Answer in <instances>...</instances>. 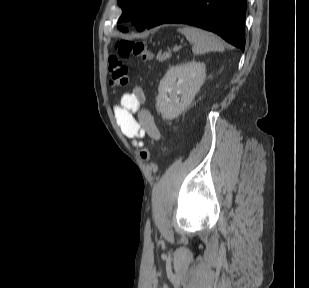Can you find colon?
Returning <instances> with one entry per match:
<instances>
[{
	"mask_svg": "<svg viewBox=\"0 0 309 288\" xmlns=\"http://www.w3.org/2000/svg\"><path fill=\"white\" fill-rule=\"evenodd\" d=\"M117 55H112L108 61V70L110 73V83L113 86L124 87L128 84V67L122 59L131 55L142 56L144 61H150L154 58V53L148 49L143 41H122L117 44ZM140 158L143 161H149L150 151L147 147L140 151Z\"/></svg>",
	"mask_w": 309,
	"mask_h": 288,
	"instance_id": "obj_1",
	"label": "colon"
}]
</instances>
